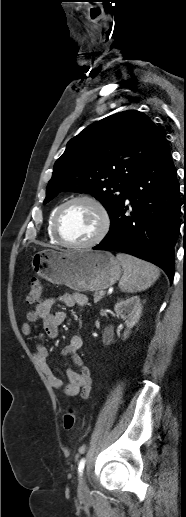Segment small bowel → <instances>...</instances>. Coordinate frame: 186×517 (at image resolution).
I'll list each match as a JSON object with an SVG mask.
<instances>
[{
    "label": "small bowel",
    "mask_w": 186,
    "mask_h": 517,
    "mask_svg": "<svg viewBox=\"0 0 186 517\" xmlns=\"http://www.w3.org/2000/svg\"><path fill=\"white\" fill-rule=\"evenodd\" d=\"M56 302H60L69 307L85 306L88 304V299L81 293H66L58 298H46L42 300L34 310L27 313L26 321L22 325V333L26 336L32 335V325L40 320L45 334L49 338H57L59 335V327L66 319V313L53 311V306ZM82 345V337L73 335L68 345L65 346L61 352L63 356L69 357L78 369L77 371L73 369L67 370V381L57 376L48 366L46 362L48 350L45 346L37 344L34 356L52 388L62 390L67 396L73 397L80 395L83 400H87L91 394L92 376L89 368L85 365L83 358L79 354Z\"/></svg>",
    "instance_id": "c3829d8e"
}]
</instances>
